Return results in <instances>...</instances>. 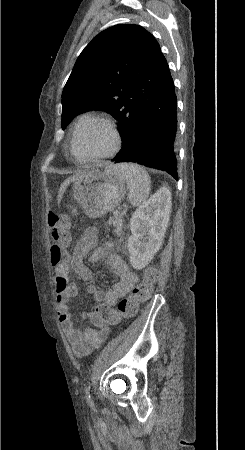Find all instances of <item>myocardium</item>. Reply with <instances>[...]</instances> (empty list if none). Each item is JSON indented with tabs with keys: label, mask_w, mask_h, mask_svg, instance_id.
Instances as JSON below:
<instances>
[{
	"label": "myocardium",
	"mask_w": 245,
	"mask_h": 450,
	"mask_svg": "<svg viewBox=\"0 0 245 450\" xmlns=\"http://www.w3.org/2000/svg\"><path fill=\"white\" fill-rule=\"evenodd\" d=\"M100 124L106 126L112 133L113 144H112V147L110 148V150L108 152H106L105 154L94 155V156H84V155L79 154L76 150V141H77V138H78L81 130L86 126L100 125ZM121 145H122V136H121L120 130H119L117 124L109 117L96 116L88 121H79L74 125L72 132H71L70 149H71V152L73 153V155L77 159H81V160L108 159V158H111L112 156H114L120 150Z\"/></svg>",
	"instance_id": "obj_1"
}]
</instances>
